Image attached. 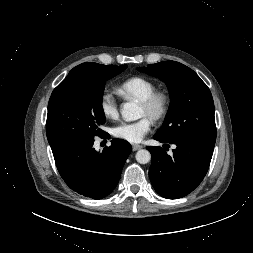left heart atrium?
<instances>
[{
  "instance_id": "39dd6f15",
  "label": "left heart atrium",
  "mask_w": 253,
  "mask_h": 253,
  "mask_svg": "<svg viewBox=\"0 0 253 253\" xmlns=\"http://www.w3.org/2000/svg\"><path fill=\"white\" fill-rule=\"evenodd\" d=\"M153 122L149 117L137 121H122L111 128L114 137L131 143L140 142L152 129Z\"/></svg>"
}]
</instances>
